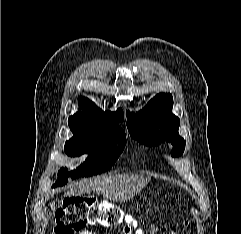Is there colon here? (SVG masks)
<instances>
[{
	"label": "colon",
	"mask_w": 241,
	"mask_h": 234,
	"mask_svg": "<svg viewBox=\"0 0 241 234\" xmlns=\"http://www.w3.org/2000/svg\"><path fill=\"white\" fill-rule=\"evenodd\" d=\"M123 220V215L118 207L106 202L97 201L93 197H68L55 213L53 234H76L88 225L114 227ZM134 227L133 218L126 219ZM184 225L189 227V221Z\"/></svg>",
	"instance_id": "obj_1"
}]
</instances>
